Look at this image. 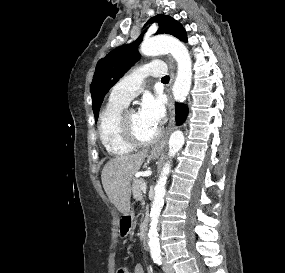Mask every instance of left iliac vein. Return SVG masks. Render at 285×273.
Wrapping results in <instances>:
<instances>
[{
    "label": "left iliac vein",
    "mask_w": 285,
    "mask_h": 273,
    "mask_svg": "<svg viewBox=\"0 0 285 273\" xmlns=\"http://www.w3.org/2000/svg\"><path fill=\"white\" fill-rule=\"evenodd\" d=\"M163 270L165 273H174V269L163 259Z\"/></svg>",
    "instance_id": "1"
}]
</instances>
